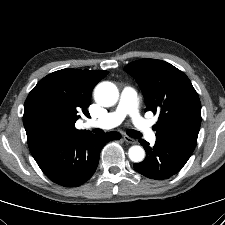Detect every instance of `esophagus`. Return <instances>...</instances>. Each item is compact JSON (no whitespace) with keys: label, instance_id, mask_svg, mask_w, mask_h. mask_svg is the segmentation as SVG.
<instances>
[{"label":"esophagus","instance_id":"1","mask_svg":"<svg viewBox=\"0 0 225 225\" xmlns=\"http://www.w3.org/2000/svg\"><path fill=\"white\" fill-rule=\"evenodd\" d=\"M123 139L126 143H129V144H135L136 143V140L131 138V137H128V136H123Z\"/></svg>","mask_w":225,"mask_h":225}]
</instances>
